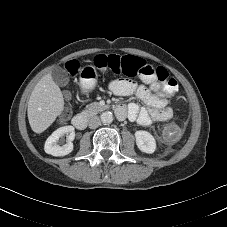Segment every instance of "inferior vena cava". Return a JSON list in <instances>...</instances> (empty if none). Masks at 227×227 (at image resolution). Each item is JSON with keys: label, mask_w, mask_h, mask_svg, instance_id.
<instances>
[{"label": "inferior vena cava", "mask_w": 227, "mask_h": 227, "mask_svg": "<svg viewBox=\"0 0 227 227\" xmlns=\"http://www.w3.org/2000/svg\"><path fill=\"white\" fill-rule=\"evenodd\" d=\"M89 128L95 129L100 125V119L98 116L94 115L88 119Z\"/></svg>", "instance_id": "602c4592"}]
</instances>
